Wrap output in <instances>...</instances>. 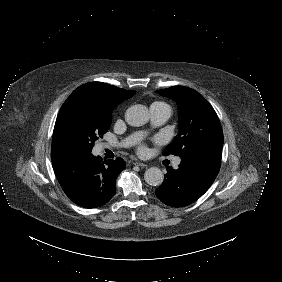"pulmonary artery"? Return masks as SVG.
<instances>
[{
    "mask_svg": "<svg viewBox=\"0 0 282 282\" xmlns=\"http://www.w3.org/2000/svg\"><path fill=\"white\" fill-rule=\"evenodd\" d=\"M171 107L165 103H154L150 107V114L154 124L160 125L168 120L171 115ZM141 134H134L124 139L119 145L122 147H128L134 144ZM180 163V158H176L174 161V167L177 168Z\"/></svg>",
    "mask_w": 282,
    "mask_h": 282,
    "instance_id": "pulmonary-artery-1",
    "label": "pulmonary artery"
}]
</instances>
